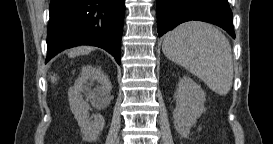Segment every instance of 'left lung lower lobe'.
Instances as JSON below:
<instances>
[{
	"mask_svg": "<svg viewBox=\"0 0 273 144\" xmlns=\"http://www.w3.org/2000/svg\"><path fill=\"white\" fill-rule=\"evenodd\" d=\"M190 20L215 24L235 38L232 11L227 0H157L159 37Z\"/></svg>",
	"mask_w": 273,
	"mask_h": 144,
	"instance_id": "left-lung-lower-lobe-1",
	"label": "left lung lower lobe"
}]
</instances>
